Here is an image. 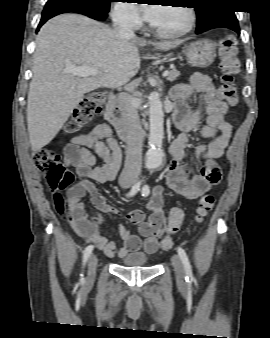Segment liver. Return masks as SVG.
I'll return each instance as SVG.
<instances>
[{
    "label": "liver",
    "mask_w": 270,
    "mask_h": 338,
    "mask_svg": "<svg viewBox=\"0 0 270 338\" xmlns=\"http://www.w3.org/2000/svg\"><path fill=\"white\" fill-rule=\"evenodd\" d=\"M181 43L123 37L82 15L63 14L50 19L37 35L33 55L27 100L31 149L39 151L54 139L84 94L129 82L140 68L138 46L152 44L168 51ZM69 66L95 68L99 74L81 78L65 72Z\"/></svg>",
    "instance_id": "1"
}]
</instances>
